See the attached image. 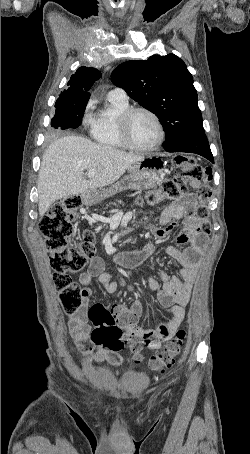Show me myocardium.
Returning a JSON list of instances; mask_svg holds the SVG:
<instances>
[{"label": "myocardium", "mask_w": 250, "mask_h": 454, "mask_svg": "<svg viewBox=\"0 0 250 454\" xmlns=\"http://www.w3.org/2000/svg\"><path fill=\"white\" fill-rule=\"evenodd\" d=\"M137 113H145L153 118L158 129V139L149 147H139L135 145L131 139L130 135V122L133 116ZM118 131L120 138L125 145L130 150L140 153H150L157 150L163 143L165 139V129L162 124L160 117L151 109L146 107H129L123 112H121L117 118Z\"/></svg>", "instance_id": "1"}]
</instances>
